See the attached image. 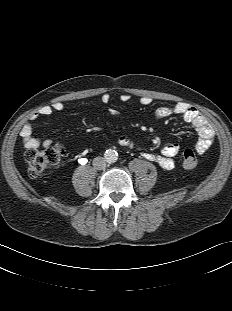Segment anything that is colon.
<instances>
[{
    "instance_id": "5ec220e1",
    "label": "colon",
    "mask_w": 232,
    "mask_h": 311,
    "mask_svg": "<svg viewBox=\"0 0 232 311\" xmlns=\"http://www.w3.org/2000/svg\"><path fill=\"white\" fill-rule=\"evenodd\" d=\"M65 154L62 145L56 144L44 149H30L25 154L28 175L32 178L38 177L47 169L59 163ZM183 165L187 169H193L197 166L198 159L192 149H186L183 152Z\"/></svg>"
}]
</instances>
